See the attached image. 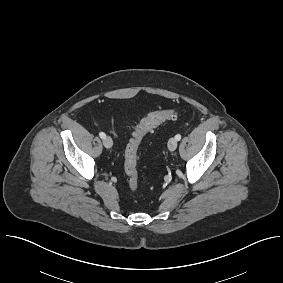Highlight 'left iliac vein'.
<instances>
[{
    "instance_id": "obj_1",
    "label": "left iliac vein",
    "mask_w": 283,
    "mask_h": 283,
    "mask_svg": "<svg viewBox=\"0 0 283 283\" xmlns=\"http://www.w3.org/2000/svg\"><path fill=\"white\" fill-rule=\"evenodd\" d=\"M178 142L175 138H170L168 141V149L174 151L177 148Z\"/></svg>"
}]
</instances>
